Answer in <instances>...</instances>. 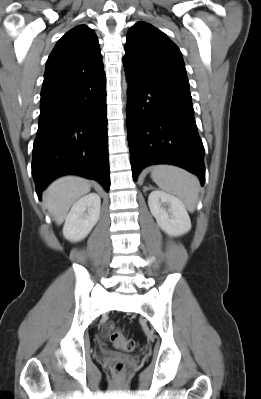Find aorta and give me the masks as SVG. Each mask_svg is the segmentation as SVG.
I'll list each match as a JSON object with an SVG mask.
<instances>
[{"label": "aorta", "mask_w": 261, "mask_h": 399, "mask_svg": "<svg viewBox=\"0 0 261 399\" xmlns=\"http://www.w3.org/2000/svg\"><path fill=\"white\" fill-rule=\"evenodd\" d=\"M127 87H128V86H127V82L124 80V81H123V88H124L125 91L127 90Z\"/></svg>", "instance_id": "1"}]
</instances>
